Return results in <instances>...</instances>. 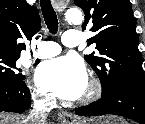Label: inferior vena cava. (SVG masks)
<instances>
[{"label": "inferior vena cava", "mask_w": 145, "mask_h": 124, "mask_svg": "<svg viewBox=\"0 0 145 124\" xmlns=\"http://www.w3.org/2000/svg\"><path fill=\"white\" fill-rule=\"evenodd\" d=\"M50 102L47 100H38L34 102V109L30 112L24 124H45L47 118V106Z\"/></svg>", "instance_id": "inferior-vena-cava-1"}]
</instances>
